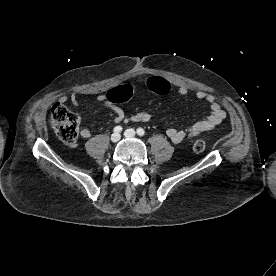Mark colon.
Segmentation results:
<instances>
[{
    "instance_id": "obj_1",
    "label": "colon",
    "mask_w": 276,
    "mask_h": 276,
    "mask_svg": "<svg viewBox=\"0 0 276 276\" xmlns=\"http://www.w3.org/2000/svg\"><path fill=\"white\" fill-rule=\"evenodd\" d=\"M158 83H164L169 86V83L164 79H152L148 82V86L151 89H158ZM159 93V92H156ZM161 94V93H160ZM132 96L131 92L126 88H115L109 91V97L111 100H127ZM50 121L53 125L59 139L66 145H73L79 134V116L64 105L56 103L50 112ZM206 148L204 140H196L193 143L192 149L196 153L203 152Z\"/></svg>"
}]
</instances>
